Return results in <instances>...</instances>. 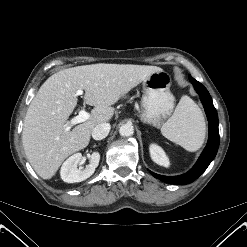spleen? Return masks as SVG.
Listing matches in <instances>:
<instances>
[{
    "mask_svg": "<svg viewBox=\"0 0 247 247\" xmlns=\"http://www.w3.org/2000/svg\"><path fill=\"white\" fill-rule=\"evenodd\" d=\"M205 132V121L200 108L186 95L182 96L173 115L161 128L164 137L190 152L201 148Z\"/></svg>",
    "mask_w": 247,
    "mask_h": 247,
    "instance_id": "obj_1",
    "label": "spleen"
}]
</instances>
